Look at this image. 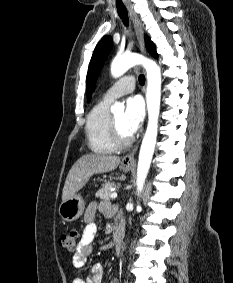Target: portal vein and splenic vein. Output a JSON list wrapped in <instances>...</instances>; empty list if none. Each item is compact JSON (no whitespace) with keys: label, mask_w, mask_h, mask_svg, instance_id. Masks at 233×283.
Returning a JSON list of instances; mask_svg holds the SVG:
<instances>
[{"label":"portal vein and splenic vein","mask_w":233,"mask_h":283,"mask_svg":"<svg viewBox=\"0 0 233 283\" xmlns=\"http://www.w3.org/2000/svg\"><path fill=\"white\" fill-rule=\"evenodd\" d=\"M117 196H118L117 192H113V193H111V195H110L111 198H116Z\"/></svg>","instance_id":"portal-vein-and-splenic-vein-1"}]
</instances>
